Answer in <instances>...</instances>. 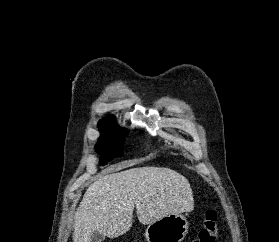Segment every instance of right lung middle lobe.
I'll return each instance as SVG.
<instances>
[{
	"label": "right lung middle lobe",
	"instance_id": "right-lung-middle-lobe-1",
	"mask_svg": "<svg viewBox=\"0 0 279 242\" xmlns=\"http://www.w3.org/2000/svg\"><path fill=\"white\" fill-rule=\"evenodd\" d=\"M99 129L102 135L96 149L101 154L100 164H105L114 157L123 155L121 148L128 132L114 124H102Z\"/></svg>",
	"mask_w": 279,
	"mask_h": 242
}]
</instances>
